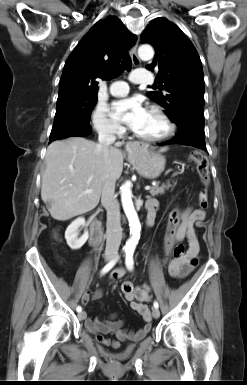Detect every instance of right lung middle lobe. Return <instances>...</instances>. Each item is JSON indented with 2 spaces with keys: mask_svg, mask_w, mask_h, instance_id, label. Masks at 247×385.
Listing matches in <instances>:
<instances>
[{
  "mask_svg": "<svg viewBox=\"0 0 247 385\" xmlns=\"http://www.w3.org/2000/svg\"><path fill=\"white\" fill-rule=\"evenodd\" d=\"M96 102L97 93L77 91L60 93L52 130L71 123L89 124Z\"/></svg>",
  "mask_w": 247,
  "mask_h": 385,
  "instance_id": "1",
  "label": "right lung middle lobe"
}]
</instances>
